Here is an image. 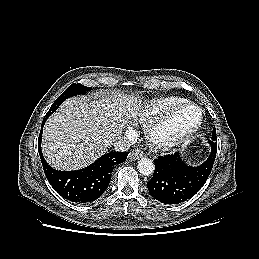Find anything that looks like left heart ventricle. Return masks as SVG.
<instances>
[{
    "instance_id": "obj_1",
    "label": "left heart ventricle",
    "mask_w": 259,
    "mask_h": 259,
    "mask_svg": "<svg viewBox=\"0 0 259 259\" xmlns=\"http://www.w3.org/2000/svg\"><path fill=\"white\" fill-rule=\"evenodd\" d=\"M197 119V111L186 109L175 116L165 133L181 131L191 126Z\"/></svg>"
}]
</instances>
